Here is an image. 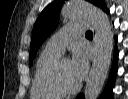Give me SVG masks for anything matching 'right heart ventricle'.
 Returning a JSON list of instances; mask_svg holds the SVG:
<instances>
[{
    "instance_id": "obj_1",
    "label": "right heart ventricle",
    "mask_w": 128,
    "mask_h": 99,
    "mask_svg": "<svg viewBox=\"0 0 128 99\" xmlns=\"http://www.w3.org/2000/svg\"><path fill=\"white\" fill-rule=\"evenodd\" d=\"M59 57V53L47 47L40 53L35 64L30 91L33 99H59L63 96L54 90L48 81L49 73Z\"/></svg>"
}]
</instances>
